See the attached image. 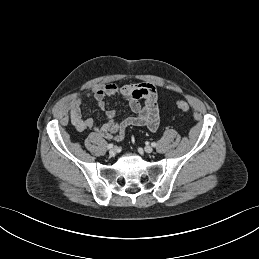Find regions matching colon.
<instances>
[{
  "instance_id": "obj_1",
  "label": "colon",
  "mask_w": 259,
  "mask_h": 259,
  "mask_svg": "<svg viewBox=\"0 0 259 259\" xmlns=\"http://www.w3.org/2000/svg\"><path fill=\"white\" fill-rule=\"evenodd\" d=\"M176 105L181 111L185 112L189 110V104L186 101L179 100Z\"/></svg>"
}]
</instances>
